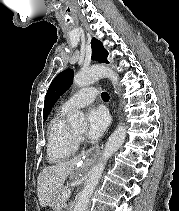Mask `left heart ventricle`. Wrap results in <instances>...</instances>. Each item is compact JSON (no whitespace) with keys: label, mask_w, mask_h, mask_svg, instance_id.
<instances>
[{"label":"left heart ventricle","mask_w":179,"mask_h":211,"mask_svg":"<svg viewBox=\"0 0 179 211\" xmlns=\"http://www.w3.org/2000/svg\"><path fill=\"white\" fill-rule=\"evenodd\" d=\"M75 132L81 134L83 132V129H77Z\"/></svg>","instance_id":"1"}]
</instances>
